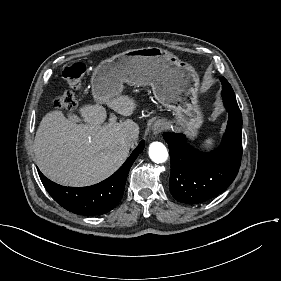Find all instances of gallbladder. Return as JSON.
I'll list each match as a JSON object with an SVG mask.
<instances>
[{"mask_svg": "<svg viewBox=\"0 0 281 281\" xmlns=\"http://www.w3.org/2000/svg\"><path fill=\"white\" fill-rule=\"evenodd\" d=\"M70 118L73 120L76 119L77 117L75 115H70Z\"/></svg>", "mask_w": 281, "mask_h": 281, "instance_id": "obj_1", "label": "gallbladder"}]
</instances>
